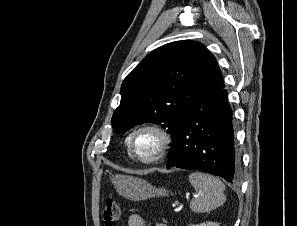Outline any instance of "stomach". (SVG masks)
<instances>
[{"instance_id": "1", "label": "stomach", "mask_w": 297, "mask_h": 226, "mask_svg": "<svg viewBox=\"0 0 297 226\" xmlns=\"http://www.w3.org/2000/svg\"><path fill=\"white\" fill-rule=\"evenodd\" d=\"M111 181L120 195L133 201L168 194L165 188H156L146 180L132 176L115 175L111 177Z\"/></svg>"}]
</instances>
